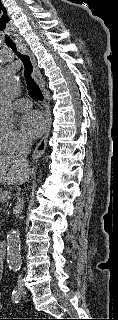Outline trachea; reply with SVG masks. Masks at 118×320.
<instances>
[{
	"label": "trachea",
	"mask_w": 118,
	"mask_h": 320,
	"mask_svg": "<svg viewBox=\"0 0 118 320\" xmlns=\"http://www.w3.org/2000/svg\"><path fill=\"white\" fill-rule=\"evenodd\" d=\"M16 54L17 56L21 59L24 68H25V78H26V83H27V89L29 92V95L36 100H43V94L37 85V83L34 81V79L31 77V74L33 72V65L32 62L29 58V56L20 54L17 52V49L14 45L9 46Z\"/></svg>",
	"instance_id": "trachea-1"
}]
</instances>
